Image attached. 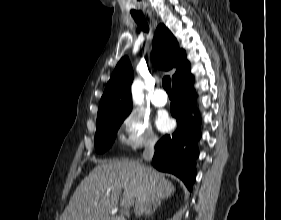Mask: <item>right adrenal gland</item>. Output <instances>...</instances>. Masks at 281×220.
<instances>
[{
  "label": "right adrenal gland",
  "mask_w": 281,
  "mask_h": 220,
  "mask_svg": "<svg viewBox=\"0 0 281 220\" xmlns=\"http://www.w3.org/2000/svg\"><path fill=\"white\" fill-rule=\"evenodd\" d=\"M157 205H160V203H155V204L153 205V207H148V208H146V209H145V215H146V216H150V215L155 211V209L157 208Z\"/></svg>",
  "instance_id": "right-adrenal-gland-1"
}]
</instances>
